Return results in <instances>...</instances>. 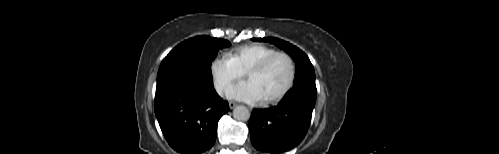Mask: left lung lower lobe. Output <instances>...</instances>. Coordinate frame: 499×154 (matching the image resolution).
<instances>
[{"label":"left lung lower lobe","mask_w":499,"mask_h":154,"mask_svg":"<svg viewBox=\"0 0 499 154\" xmlns=\"http://www.w3.org/2000/svg\"><path fill=\"white\" fill-rule=\"evenodd\" d=\"M316 94L315 83L297 84L277 106L254 109L249 120L253 146L275 154L297 146L309 128Z\"/></svg>","instance_id":"left-lung-lower-lobe-1"}]
</instances>
